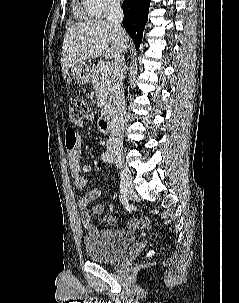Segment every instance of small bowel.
<instances>
[{"instance_id": "c3829d8e", "label": "small bowel", "mask_w": 239, "mask_h": 303, "mask_svg": "<svg viewBox=\"0 0 239 303\" xmlns=\"http://www.w3.org/2000/svg\"><path fill=\"white\" fill-rule=\"evenodd\" d=\"M88 118L92 119L93 114H89ZM81 126L82 123L77 122L71 126L65 134V150L68 168L74 185L78 189H84L88 184V180L82 176V173H90L92 171V167L89 164H82L80 162L82 139L77 130ZM100 195V189H92L84 193L77 201L78 206L81 209L82 224L89 238L94 240H111L115 237L131 235L136 230L144 229L148 226V221L145 218H137L128 222L120 229L114 227L100 229L92 220V215H101L104 212L105 205L103 203H96L89 209V205L98 199ZM107 223L110 226H114L117 223V219L110 216L107 218Z\"/></svg>"}]
</instances>
